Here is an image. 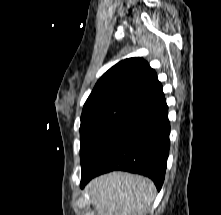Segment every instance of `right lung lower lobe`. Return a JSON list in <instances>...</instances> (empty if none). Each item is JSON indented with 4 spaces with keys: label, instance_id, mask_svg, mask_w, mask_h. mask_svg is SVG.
Returning <instances> with one entry per match:
<instances>
[{
    "label": "right lung lower lobe",
    "instance_id": "right-lung-lower-lobe-1",
    "mask_svg": "<svg viewBox=\"0 0 221 215\" xmlns=\"http://www.w3.org/2000/svg\"><path fill=\"white\" fill-rule=\"evenodd\" d=\"M169 134L168 106L162 94L120 123L82 172L81 188L97 175L123 170L149 177L159 191L165 178Z\"/></svg>",
    "mask_w": 221,
    "mask_h": 215
}]
</instances>
